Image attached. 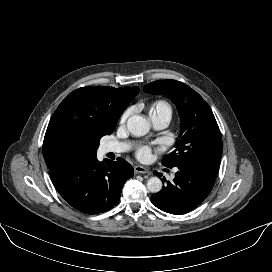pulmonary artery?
<instances>
[{
	"mask_svg": "<svg viewBox=\"0 0 272 272\" xmlns=\"http://www.w3.org/2000/svg\"><path fill=\"white\" fill-rule=\"evenodd\" d=\"M152 126L156 130H162L166 128L169 124V120L164 117L156 118L151 121ZM129 148V144L127 143H107L105 145V151L107 152H124Z\"/></svg>",
	"mask_w": 272,
	"mask_h": 272,
	"instance_id": "e3ab8cb5",
	"label": "pulmonary artery"
}]
</instances>
